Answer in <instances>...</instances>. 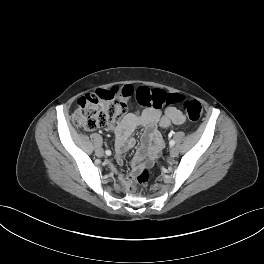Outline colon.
<instances>
[{
	"label": "colon",
	"mask_w": 264,
	"mask_h": 264,
	"mask_svg": "<svg viewBox=\"0 0 264 264\" xmlns=\"http://www.w3.org/2000/svg\"><path fill=\"white\" fill-rule=\"evenodd\" d=\"M130 100H136L139 105L151 109H164L183 102L188 118L194 122L198 121L203 113L197 100H184L180 94L157 88L124 85L110 90H97L81 97L72 114V121L83 130H96L117 122L125 113L127 102ZM149 179V172L143 170L135 177L134 184L143 187Z\"/></svg>",
	"instance_id": "colon-1"
}]
</instances>
